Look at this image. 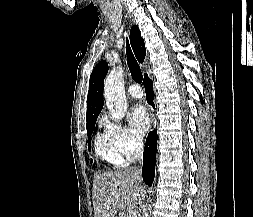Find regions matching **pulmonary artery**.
Returning a JSON list of instances; mask_svg holds the SVG:
<instances>
[{"mask_svg":"<svg viewBox=\"0 0 253 217\" xmlns=\"http://www.w3.org/2000/svg\"><path fill=\"white\" fill-rule=\"evenodd\" d=\"M128 94L133 98H141L143 96L142 89L137 84H132L127 89Z\"/></svg>","mask_w":253,"mask_h":217,"instance_id":"1","label":"pulmonary artery"}]
</instances>
